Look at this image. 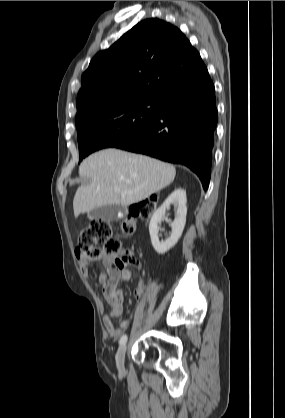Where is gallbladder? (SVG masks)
Returning <instances> with one entry per match:
<instances>
[{"label": "gallbladder", "instance_id": "1", "mask_svg": "<svg viewBox=\"0 0 285 418\" xmlns=\"http://www.w3.org/2000/svg\"><path fill=\"white\" fill-rule=\"evenodd\" d=\"M119 213H123L122 206L109 204L92 209L88 212V218L90 220L118 221L120 220Z\"/></svg>", "mask_w": 285, "mask_h": 418}]
</instances>
